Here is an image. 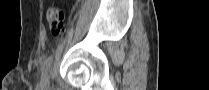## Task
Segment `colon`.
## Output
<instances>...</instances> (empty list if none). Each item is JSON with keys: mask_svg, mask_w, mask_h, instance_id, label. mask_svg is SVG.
<instances>
[{"mask_svg": "<svg viewBox=\"0 0 209 90\" xmlns=\"http://www.w3.org/2000/svg\"><path fill=\"white\" fill-rule=\"evenodd\" d=\"M47 21L51 32L55 35L61 33L65 25V13L58 7L47 10Z\"/></svg>", "mask_w": 209, "mask_h": 90, "instance_id": "colon-1", "label": "colon"}]
</instances>
